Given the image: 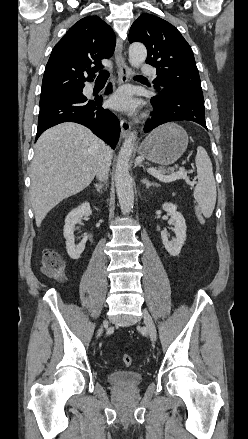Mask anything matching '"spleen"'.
<instances>
[{
	"label": "spleen",
	"instance_id": "3e777b00",
	"mask_svg": "<svg viewBox=\"0 0 248 439\" xmlns=\"http://www.w3.org/2000/svg\"><path fill=\"white\" fill-rule=\"evenodd\" d=\"M197 167L198 183L194 189L193 195L197 201L203 215L209 218L216 204V183L213 175L211 160L202 146L197 147L195 158Z\"/></svg>",
	"mask_w": 248,
	"mask_h": 439
}]
</instances>
